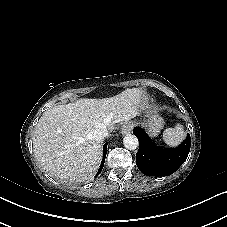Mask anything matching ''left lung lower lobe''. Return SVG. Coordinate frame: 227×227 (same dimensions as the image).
Listing matches in <instances>:
<instances>
[{"label": "left lung lower lobe", "mask_w": 227, "mask_h": 227, "mask_svg": "<svg viewBox=\"0 0 227 227\" xmlns=\"http://www.w3.org/2000/svg\"><path fill=\"white\" fill-rule=\"evenodd\" d=\"M133 133L139 141V150L136 154V164L144 175H171L188 157L191 146V138L189 134L177 148L163 149L157 147L143 129L136 127L134 128Z\"/></svg>", "instance_id": "left-lung-lower-lobe-1"}]
</instances>
